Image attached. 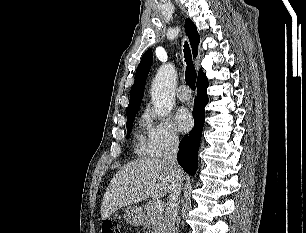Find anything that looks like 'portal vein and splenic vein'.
<instances>
[{
    "label": "portal vein and splenic vein",
    "mask_w": 306,
    "mask_h": 233,
    "mask_svg": "<svg viewBox=\"0 0 306 233\" xmlns=\"http://www.w3.org/2000/svg\"><path fill=\"white\" fill-rule=\"evenodd\" d=\"M163 208V202L161 200H157L154 202L153 204V209L158 211L161 210Z\"/></svg>",
    "instance_id": "portal-vein-and-splenic-vein-1"
}]
</instances>
